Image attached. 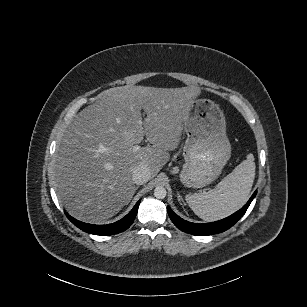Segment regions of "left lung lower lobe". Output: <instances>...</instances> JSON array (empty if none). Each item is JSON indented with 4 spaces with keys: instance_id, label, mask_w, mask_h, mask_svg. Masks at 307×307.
Returning <instances> with one entry per match:
<instances>
[{
    "instance_id": "obj_1",
    "label": "left lung lower lobe",
    "mask_w": 307,
    "mask_h": 307,
    "mask_svg": "<svg viewBox=\"0 0 307 307\" xmlns=\"http://www.w3.org/2000/svg\"><path fill=\"white\" fill-rule=\"evenodd\" d=\"M257 191L251 196L249 201L236 213L232 214L231 216L222 219L220 221L206 223V224H196L191 223L186 220H183L178 215H176L170 207L167 208L169 217L171 218L172 222L175 224L177 228L180 230L192 234V235H211L219 232H223L233 226L246 212L247 208L249 207L251 201L256 196Z\"/></svg>"
}]
</instances>
